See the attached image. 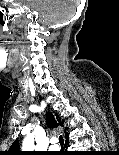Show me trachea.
Segmentation results:
<instances>
[{"mask_svg":"<svg viewBox=\"0 0 119 155\" xmlns=\"http://www.w3.org/2000/svg\"><path fill=\"white\" fill-rule=\"evenodd\" d=\"M59 143H60L61 145L64 144V139H63V136H62V135L59 136Z\"/></svg>","mask_w":119,"mask_h":155,"instance_id":"obj_1","label":"trachea"}]
</instances>
